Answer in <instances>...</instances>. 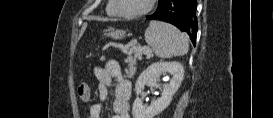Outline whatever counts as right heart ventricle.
Instances as JSON below:
<instances>
[{
	"label": "right heart ventricle",
	"instance_id": "1",
	"mask_svg": "<svg viewBox=\"0 0 273 118\" xmlns=\"http://www.w3.org/2000/svg\"><path fill=\"white\" fill-rule=\"evenodd\" d=\"M106 12L110 16H116V12L113 8L112 1H109L107 7H106Z\"/></svg>",
	"mask_w": 273,
	"mask_h": 118
}]
</instances>
